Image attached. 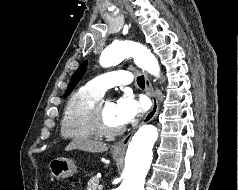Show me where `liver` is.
I'll return each mask as SVG.
<instances>
[{
  "instance_id": "6515ba94",
  "label": "liver",
  "mask_w": 238,
  "mask_h": 190,
  "mask_svg": "<svg viewBox=\"0 0 238 190\" xmlns=\"http://www.w3.org/2000/svg\"><path fill=\"white\" fill-rule=\"evenodd\" d=\"M82 150L92 153H102L108 150L105 143L89 140V139H74L66 147L65 151Z\"/></svg>"
}]
</instances>
